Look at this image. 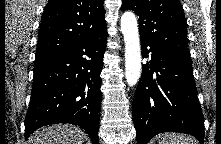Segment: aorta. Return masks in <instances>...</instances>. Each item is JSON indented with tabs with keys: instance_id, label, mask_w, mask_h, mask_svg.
<instances>
[{
	"instance_id": "762f6f07",
	"label": "aorta",
	"mask_w": 221,
	"mask_h": 144,
	"mask_svg": "<svg viewBox=\"0 0 221 144\" xmlns=\"http://www.w3.org/2000/svg\"><path fill=\"white\" fill-rule=\"evenodd\" d=\"M121 31L125 42V77L128 85H135L141 74V50L138 25L132 12L121 17Z\"/></svg>"
}]
</instances>
